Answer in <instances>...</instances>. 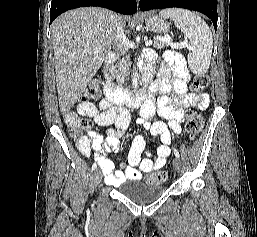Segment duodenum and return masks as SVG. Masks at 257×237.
Wrapping results in <instances>:
<instances>
[{
  "label": "duodenum",
  "mask_w": 257,
  "mask_h": 237,
  "mask_svg": "<svg viewBox=\"0 0 257 237\" xmlns=\"http://www.w3.org/2000/svg\"><path fill=\"white\" fill-rule=\"evenodd\" d=\"M117 59L114 52L108 53L105 61L104 74V89L105 96L113 103L126 104L131 107H136L141 104L149 95V87L151 83L150 73L145 65L140 68L142 74V83L138 90L130 91L119 85H116L108 72V66L113 64Z\"/></svg>",
  "instance_id": "duodenum-1"
}]
</instances>
